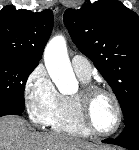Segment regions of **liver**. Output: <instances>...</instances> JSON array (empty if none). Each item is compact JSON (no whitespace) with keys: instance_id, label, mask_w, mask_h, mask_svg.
<instances>
[{"instance_id":"1","label":"liver","mask_w":139,"mask_h":150,"mask_svg":"<svg viewBox=\"0 0 139 150\" xmlns=\"http://www.w3.org/2000/svg\"><path fill=\"white\" fill-rule=\"evenodd\" d=\"M100 147L79 138L55 132H31L16 116L0 118V150H97Z\"/></svg>"}]
</instances>
